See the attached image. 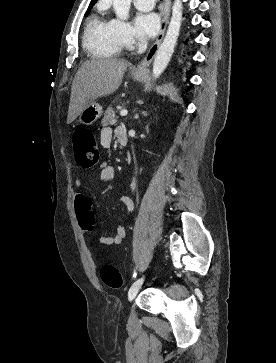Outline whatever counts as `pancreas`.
<instances>
[{
	"instance_id": "cf45deb5",
	"label": "pancreas",
	"mask_w": 276,
	"mask_h": 363,
	"mask_svg": "<svg viewBox=\"0 0 276 363\" xmlns=\"http://www.w3.org/2000/svg\"><path fill=\"white\" fill-rule=\"evenodd\" d=\"M101 123L104 126L113 125L116 123L115 111L113 110V107L110 106L107 108Z\"/></svg>"
}]
</instances>
